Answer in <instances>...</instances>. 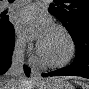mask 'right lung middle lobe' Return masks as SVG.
Masks as SVG:
<instances>
[{
	"label": "right lung middle lobe",
	"mask_w": 89,
	"mask_h": 89,
	"mask_svg": "<svg viewBox=\"0 0 89 89\" xmlns=\"http://www.w3.org/2000/svg\"><path fill=\"white\" fill-rule=\"evenodd\" d=\"M7 23H8V21L6 19H1L0 20V27H4Z\"/></svg>",
	"instance_id": "obj_1"
}]
</instances>
